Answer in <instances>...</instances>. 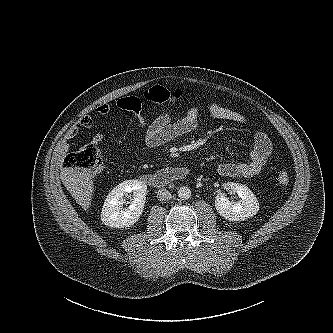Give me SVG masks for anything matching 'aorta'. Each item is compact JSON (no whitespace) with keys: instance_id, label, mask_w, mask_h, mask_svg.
Segmentation results:
<instances>
[{"instance_id":"1","label":"aorta","mask_w":333,"mask_h":333,"mask_svg":"<svg viewBox=\"0 0 333 333\" xmlns=\"http://www.w3.org/2000/svg\"><path fill=\"white\" fill-rule=\"evenodd\" d=\"M178 197L182 200H187L191 197V190L186 187L182 186L178 189Z\"/></svg>"}]
</instances>
